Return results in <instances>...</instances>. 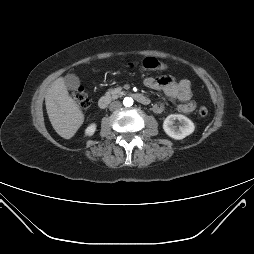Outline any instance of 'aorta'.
<instances>
[{
	"label": "aorta",
	"instance_id": "762f6f07",
	"mask_svg": "<svg viewBox=\"0 0 254 254\" xmlns=\"http://www.w3.org/2000/svg\"><path fill=\"white\" fill-rule=\"evenodd\" d=\"M133 99L131 97H125L123 100V104L126 107H131L133 105Z\"/></svg>",
	"mask_w": 254,
	"mask_h": 254
}]
</instances>
